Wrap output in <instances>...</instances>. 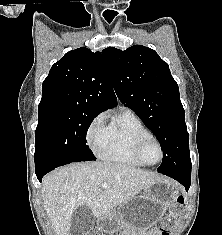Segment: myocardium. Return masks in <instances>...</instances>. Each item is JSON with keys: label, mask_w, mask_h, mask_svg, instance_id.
<instances>
[{"label": "myocardium", "mask_w": 222, "mask_h": 235, "mask_svg": "<svg viewBox=\"0 0 222 235\" xmlns=\"http://www.w3.org/2000/svg\"><path fill=\"white\" fill-rule=\"evenodd\" d=\"M150 141L155 142L160 150V158L156 163H148L143 158V148ZM133 153L137 161L141 163L143 166H156L163 161L165 156L164 148L161 142L152 134L140 137L135 143Z\"/></svg>", "instance_id": "1"}]
</instances>
